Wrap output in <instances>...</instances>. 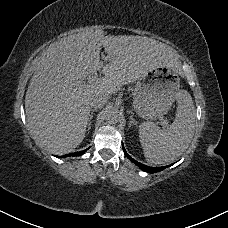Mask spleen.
Wrapping results in <instances>:
<instances>
[{
    "label": "spleen",
    "mask_w": 228,
    "mask_h": 228,
    "mask_svg": "<svg viewBox=\"0 0 228 228\" xmlns=\"http://www.w3.org/2000/svg\"><path fill=\"white\" fill-rule=\"evenodd\" d=\"M177 111L173 123L162 129L154 122H143L139 126V138L146 161L164 164L179 157L194 136L195 116L191 95L186 90L177 94Z\"/></svg>",
    "instance_id": "3e777b00"
}]
</instances>
